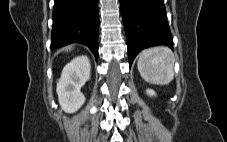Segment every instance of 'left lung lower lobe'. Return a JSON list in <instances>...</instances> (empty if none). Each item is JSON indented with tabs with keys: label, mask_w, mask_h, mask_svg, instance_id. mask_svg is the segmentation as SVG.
Returning <instances> with one entry per match:
<instances>
[{
	"label": "left lung lower lobe",
	"mask_w": 227,
	"mask_h": 142,
	"mask_svg": "<svg viewBox=\"0 0 227 142\" xmlns=\"http://www.w3.org/2000/svg\"><path fill=\"white\" fill-rule=\"evenodd\" d=\"M129 65L143 49L165 44L173 49L163 0H120Z\"/></svg>",
	"instance_id": "0a47b994"
}]
</instances>
